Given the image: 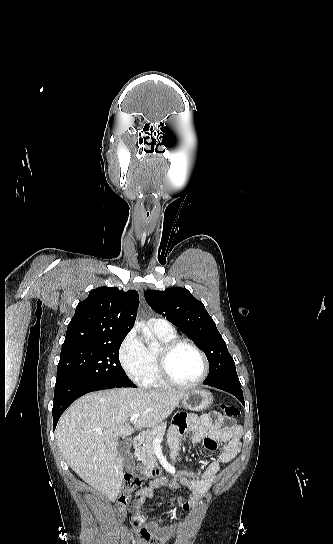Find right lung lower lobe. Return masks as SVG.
Here are the masks:
<instances>
[{
	"label": "right lung lower lobe",
	"mask_w": 333,
	"mask_h": 544,
	"mask_svg": "<svg viewBox=\"0 0 333 544\" xmlns=\"http://www.w3.org/2000/svg\"><path fill=\"white\" fill-rule=\"evenodd\" d=\"M119 385L111 384H98V383H84L78 380H69L61 379L56 380L55 391H54V401H53V420H54V429L57 425V422L61 414L66 410V408L80 396L98 390L111 389V388H120ZM135 387V386H130Z\"/></svg>",
	"instance_id": "98d812e1"
}]
</instances>
